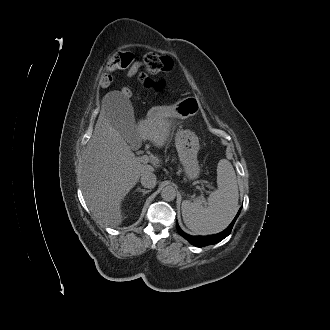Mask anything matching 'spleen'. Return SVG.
<instances>
[{
  "mask_svg": "<svg viewBox=\"0 0 330 330\" xmlns=\"http://www.w3.org/2000/svg\"><path fill=\"white\" fill-rule=\"evenodd\" d=\"M217 186L207 198L195 202H182V216L185 225L200 235L214 234L225 229L238 210L237 177L232 164L221 159L217 166Z\"/></svg>",
  "mask_w": 330,
  "mask_h": 330,
  "instance_id": "1",
  "label": "spleen"
}]
</instances>
